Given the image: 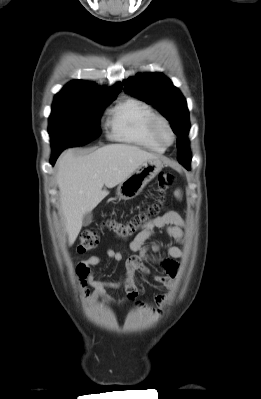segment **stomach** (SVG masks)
Returning a JSON list of instances; mask_svg holds the SVG:
<instances>
[{
    "label": "stomach",
    "instance_id": "0dacf381",
    "mask_svg": "<svg viewBox=\"0 0 261 399\" xmlns=\"http://www.w3.org/2000/svg\"><path fill=\"white\" fill-rule=\"evenodd\" d=\"M162 168L163 163L159 159L145 161L127 179L118 185L117 196L124 200L135 198Z\"/></svg>",
    "mask_w": 261,
    "mask_h": 399
}]
</instances>
